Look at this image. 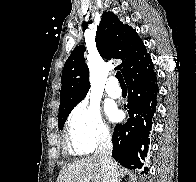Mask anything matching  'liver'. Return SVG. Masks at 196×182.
I'll list each match as a JSON object with an SVG mask.
<instances>
[{
    "instance_id": "obj_1",
    "label": "liver",
    "mask_w": 196,
    "mask_h": 182,
    "mask_svg": "<svg viewBox=\"0 0 196 182\" xmlns=\"http://www.w3.org/2000/svg\"><path fill=\"white\" fill-rule=\"evenodd\" d=\"M57 182H104L99 159L91 156L65 165Z\"/></svg>"
}]
</instances>
